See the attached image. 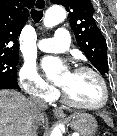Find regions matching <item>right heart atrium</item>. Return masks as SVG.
Masks as SVG:
<instances>
[{"instance_id": "right-heart-atrium-1", "label": "right heart atrium", "mask_w": 117, "mask_h": 136, "mask_svg": "<svg viewBox=\"0 0 117 136\" xmlns=\"http://www.w3.org/2000/svg\"><path fill=\"white\" fill-rule=\"evenodd\" d=\"M19 80L23 91L31 97L45 101H52L56 97V90L45 81L31 62H26L23 65Z\"/></svg>"}]
</instances>
